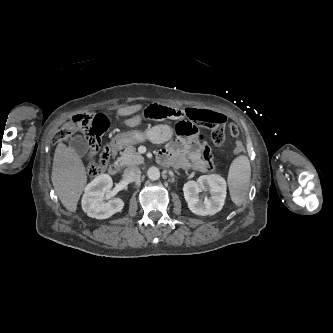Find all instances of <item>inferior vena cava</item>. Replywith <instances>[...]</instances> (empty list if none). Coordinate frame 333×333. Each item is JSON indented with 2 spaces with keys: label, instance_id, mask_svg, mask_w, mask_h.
<instances>
[{
  "label": "inferior vena cava",
  "instance_id": "602c4592",
  "mask_svg": "<svg viewBox=\"0 0 333 333\" xmlns=\"http://www.w3.org/2000/svg\"><path fill=\"white\" fill-rule=\"evenodd\" d=\"M141 176V170L138 167H129L124 170L123 177L128 182H134Z\"/></svg>",
  "mask_w": 333,
  "mask_h": 333
}]
</instances>
